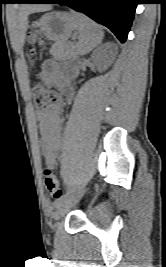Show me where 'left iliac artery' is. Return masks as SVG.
I'll return each mask as SVG.
<instances>
[{
	"label": "left iliac artery",
	"instance_id": "obj_1",
	"mask_svg": "<svg viewBox=\"0 0 166 267\" xmlns=\"http://www.w3.org/2000/svg\"><path fill=\"white\" fill-rule=\"evenodd\" d=\"M67 195L68 194L63 195L59 201L55 202L54 203V207L59 208L64 203V201L66 200Z\"/></svg>",
	"mask_w": 166,
	"mask_h": 267
}]
</instances>
